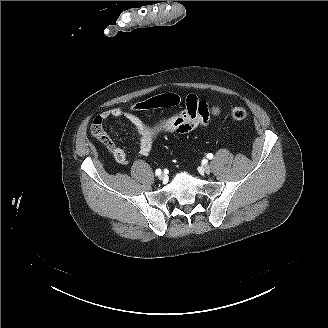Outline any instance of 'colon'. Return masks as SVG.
I'll return each mask as SVG.
<instances>
[{"label":"colon","instance_id":"1","mask_svg":"<svg viewBox=\"0 0 328 328\" xmlns=\"http://www.w3.org/2000/svg\"><path fill=\"white\" fill-rule=\"evenodd\" d=\"M180 104V98L173 93L161 94L144 101L135 103L132 109L135 111H149L159 108L174 107ZM247 110L243 107H234L231 110V117L234 120L241 121L247 117ZM92 135L106 148L110 149L113 143L103 128V120L97 116L91 125Z\"/></svg>","mask_w":328,"mask_h":328}]
</instances>
